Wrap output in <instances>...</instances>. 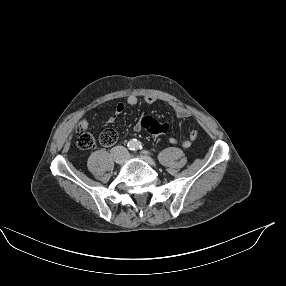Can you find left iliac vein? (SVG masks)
<instances>
[{"label": "left iliac vein", "mask_w": 286, "mask_h": 286, "mask_svg": "<svg viewBox=\"0 0 286 286\" xmlns=\"http://www.w3.org/2000/svg\"><path fill=\"white\" fill-rule=\"evenodd\" d=\"M142 157L146 160V162H147L149 165H151L152 167H156L155 162H154L150 157H148V156H146V155H144V156H142Z\"/></svg>", "instance_id": "left-iliac-vein-1"}]
</instances>
